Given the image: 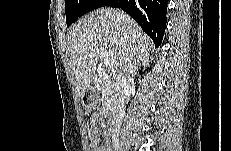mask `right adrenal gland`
Instances as JSON below:
<instances>
[{
  "label": "right adrenal gland",
  "instance_id": "1",
  "mask_svg": "<svg viewBox=\"0 0 231 151\" xmlns=\"http://www.w3.org/2000/svg\"><path fill=\"white\" fill-rule=\"evenodd\" d=\"M147 64H148V58L146 60L142 61L139 66H146ZM136 71H137V69H136ZM135 74H136V72H134L133 75H135Z\"/></svg>",
  "mask_w": 231,
  "mask_h": 151
}]
</instances>
